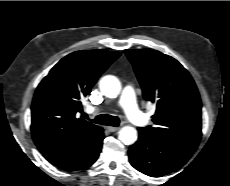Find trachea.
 <instances>
[{
	"instance_id": "1",
	"label": "trachea",
	"mask_w": 230,
	"mask_h": 186,
	"mask_svg": "<svg viewBox=\"0 0 230 186\" xmlns=\"http://www.w3.org/2000/svg\"><path fill=\"white\" fill-rule=\"evenodd\" d=\"M91 121L96 124L109 125V126H114V127H117L120 123V120L118 117L111 116L108 114L98 115L96 116L95 119H92Z\"/></svg>"
}]
</instances>
